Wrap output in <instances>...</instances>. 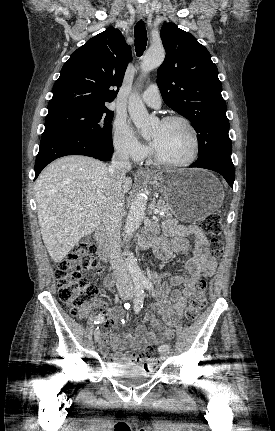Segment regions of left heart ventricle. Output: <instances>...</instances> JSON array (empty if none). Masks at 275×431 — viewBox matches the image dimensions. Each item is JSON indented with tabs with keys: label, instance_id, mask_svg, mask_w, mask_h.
<instances>
[{
	"label": "left heart ventricle",
	"instance_id": "obj_1",
	"mask_svg": "<svg viewBox=\"0 0 275 431\" xmlns=\"http://www.w3.org/2000/svg\"><path fill=\"white\" fill-rule=\"evenodd\" d=\"M158 155L169 162H183L193 151V139L187 127L181 122L159 123L150 135Z\"/></svg>",
	"mask_w": 275,
	"mask_h": 431
}]
</instances>
